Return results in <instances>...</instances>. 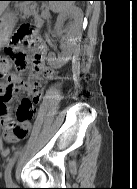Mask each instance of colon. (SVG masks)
<instances>
[{"mask_svg":"<svg viewBox=\"0 0 137 189\" xmlns=\"http://www.w3.org/2000/svg\"><path fill=\"white\" fill-rule=\"evenodd\" d=\"M28 46H32L37 50L33 58L32 66L30 67L32 72L37 71V64L44 51V44L41 38L29 26L23 25L14 32L10 42L6 46L7 55L0 56V85H4L9 81L10 73L14 65L20 70L27 68L22 49ZM34 111L35 109L32 104L28 100H24L20 103L17 114L19 118H23L26 115L31 116Z\"/></svg>","mask_w":137,"mask_h":189,"instance_id":"5ec220e1","label":"colon"}]
</instances>
